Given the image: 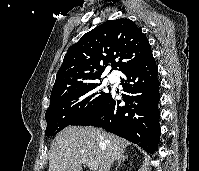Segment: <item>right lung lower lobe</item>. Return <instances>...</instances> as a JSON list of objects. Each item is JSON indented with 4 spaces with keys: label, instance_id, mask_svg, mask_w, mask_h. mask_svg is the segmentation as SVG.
I'll use <instances>...</instances> for the list:
<instances>
[{
    "label": "right lung lower lobe",
    "instance_id": "right-lung-lower-lobe-1",
    "mask_svg": "<svg viewBox=\"0 0 199 171\" xmlns=\"http://www.w3.org/2000/svg\"><path fill=\"white\" fill-rule=\"evenodd\" d=\"M124 106L111 93L71 125H91L121 136L147 152L157 149L160 135L158 68L151 55L122 71Z\"/></svg>",
    "mask_w": 199,
    "mask_h": 171
}]
</instances>
